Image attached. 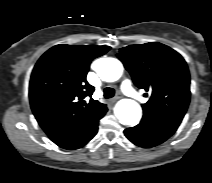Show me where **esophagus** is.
Instances as JSON below:
<instances>
[{"mask_svg": "<svg viewBox=\"0 0 212 183\" xmlns=\"http://www.w3.org/2000/svg\"><path fill=\"white\" fill-rule=\"evenodd\" d=\"M120 98H122V96H121V94H118L117 96H115L114 98L111 99V102H116Z\"/></svg>", "mask_w": 212, "mask_h": 183, "instance_id": "esophagus-1", "label": "esophagus"}]
</instances>
